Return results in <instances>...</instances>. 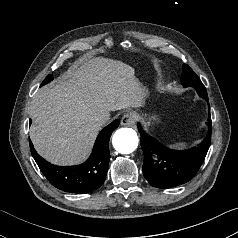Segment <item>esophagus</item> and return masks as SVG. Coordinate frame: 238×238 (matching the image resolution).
Masks as SVG:
<instances>
[{
  "label": "esophagus",
  "mask_w": 238,
  "mask_h": 238,
  "mask_svg": "<svg viewBox=\"0 0 238 238\" xmlns=\"http://www.w3.org/2000/svg\"><path fill=\"white\" fill-rule=\"evenodd\" d=\"M136 121V116L133 113H126L124 116L121 118V125L122 126H127V127H132L135 124Z\"/></svg>",
  "instance_id": "1"
}]
</instances>
